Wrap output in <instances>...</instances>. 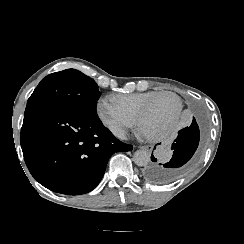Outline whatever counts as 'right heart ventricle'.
Returning <instances> with one entry per match:
<instances>
[{
	"instance_id": "1",
	"label": "right heart ventricle",
	"mask_w": 244,
	"mask_h": 244,
	"mask_svg": "<svg viewBox=\"0 0 244 244\" xmlns=\"http://www.w3.org/2000/svg\"><path fill=\"white\" fill-rule=\"evenodd\" d=\"M157 93L161 91H149L141 94H130L129 96L110 94L107 99L116 105L131 106L139 116L141 109L148 104L153 98L156 97ZM145 116V114H144Z\"/></svg>"
}]
</instances>
